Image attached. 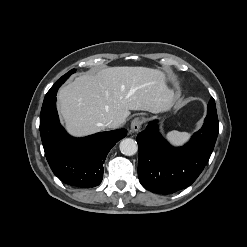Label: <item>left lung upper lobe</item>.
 Returning <instances> with one entry per match:
<instances>
[{
	"label": "left lung upper lobe",
	"mask_w": 247,
	"mask_h": 247,
	"mask_svg": "<svg viewBox=\"0 0 247 247\" xmlns=\"http://www.w3.org/2000/svg\"><path fill=\"white\" fill-rule=\"evenodd\" d=\"M207 116L205 118V122L215 126V127H219V123H218V117H217V112H216V106H215V100L213 98H211L209 104H208V111H207Z\"/></svg>",
	"instance_id": "obj_1"
}]
</instances>
